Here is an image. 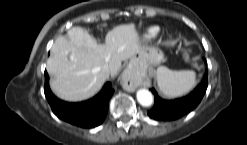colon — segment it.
Returning a JSON list of instances; mask_svg holds the SVG:
<instances>
[{
	"mask_svg": "<svg viewBox=\"0 0 247 145\" xmlns=\"http://www.w3.org/2000/svg\"><path fill=\"white\" fill-rule=\"evenodd\" d=\"M182 55H183V58L187 62H190L191 61V55H190V51L188 49L182 50Z\"/></svg>",
	"mask_w": 247,
	"mask_h": 145,
	"instance_id": "5ec220e1",
	"label": "colon"
}]
</instances>
